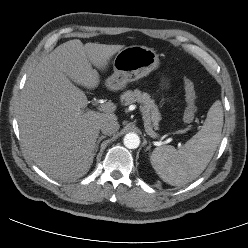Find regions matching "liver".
Listing matches in <instances>:
<instances>
[{
    "instance_id": "6515ba94",
    "label": "liver",
    "mask_w": 248,
    "mask_h": 248,
    "mask_svg": "<svg viewBox=\"0 0 248 248\" xmlns=\"http://www.w3.org/2000/svg\"><path fill=\"white\" fill-rule=\"evenodd\" d=\"M123 45L67 41L46 55L29 76L18 107L21 142L29 157L52 178L83 177L94 158L103 120L117 117L86 109L85 93L71 80L96 88L99 74Z\"/></svg>"
}]
</instances>
